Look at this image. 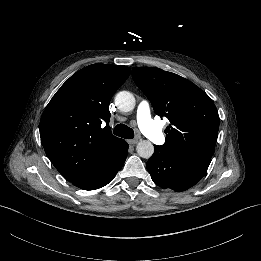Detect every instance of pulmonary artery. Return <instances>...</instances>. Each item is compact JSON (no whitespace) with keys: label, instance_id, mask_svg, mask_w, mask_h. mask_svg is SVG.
<instances>
[{"label":"pulmonary artery","instance_id":"1","mask_svg":"<svg viewBox=\"0 0 261 261\" xmlns=\"http://www.w3.org/2000/svg\"><path fill=\"white\" fill-rule=\"evenodd\" d=\"M151 109L147 101H142L137 108V124L142 132L150 134L154 144L158 147H163L166 144V139L163 137L162 131L155 129L153 122H151Z\"/></svg>","mask_w":261,"mask_h":261}]
</instances>
